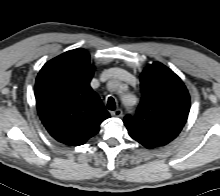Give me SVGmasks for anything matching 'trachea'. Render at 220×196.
<instances>
[{
  "mask_svg": "<svg viewBox=\"0 0 220 196\" xmlns=\"http://www.w3.org/2000/svg\"><path fill=\"white\" fill-rule=\"evenodd\" d=\"M107 108H108L109 110H115V108H116V103H115L114 98H112V97H109V98H108Z\"/></svg>",
  "mask_w": 220,
  "mask_h": 196,
  "instance_id": "3493384b",
  "label": "trachea"
}]
</instances>
